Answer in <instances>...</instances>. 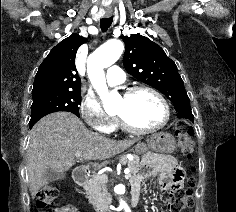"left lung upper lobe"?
<instances>
[{"label": "left lung upper lobe", "instance_id": "1", "mask_svg": "<svg viewBox=\"0 0 236 212\" xmlns=\"http://www.w3.org/2000/svg\"><path fill=\"white\" fill-rule=\"evenodd\" d=\"M123 41L124 67L129 74L163 93L177 112L191 108L175 62L159 45L140 34L125 36Z\"/></svg>", "mask_w": 236, "mask_h": 212}]
</instances>
